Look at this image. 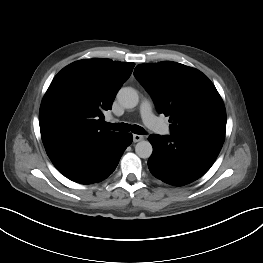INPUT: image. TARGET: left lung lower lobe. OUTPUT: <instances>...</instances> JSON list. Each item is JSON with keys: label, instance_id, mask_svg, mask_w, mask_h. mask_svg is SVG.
Returning <instances> with one entry per match:
<instances>
[{"label": "left lung lower lobe", "instance_id": "0a47b994", "mask_svg": "<svg viewBox=\"0 0 263 263\" xmlns=\"http://www.w3.org/2000/svg\"><path fill=\"white\" fill-rule=\"evenodd\" d=\"M148 140L153 146L148 160L151 174L174 186L186 185L204 175L223 145L188 134H153Z\"/></svg>", "mask_w": 263, "mask_h": 263}]
</instances>
